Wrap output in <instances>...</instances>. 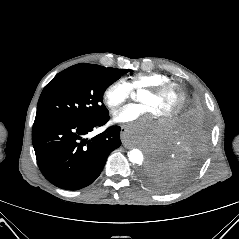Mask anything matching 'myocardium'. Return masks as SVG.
<instances>
[{"label":"myocardium","instance_id":"f54148a6","mask_svg":"<svg viewBox=\"0 0 239 239\" xmlns=\"http://www.w3.org/2000/svg\"><path fill=\"white\" fill-rule=\"evenodd\" d=\"M168 91H174L178 96V101L176 106L163 116V118L165 119H171L177 116L182 111L186 102L185 91L178 84L174 82H166L156 86L147 87L143 89L142 91V92H148L155 96L163 95Z\"/></svg>","mask_w":239,"mask_h":239}]
</instances>
